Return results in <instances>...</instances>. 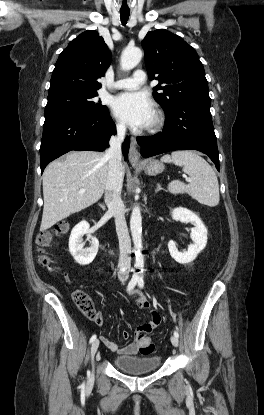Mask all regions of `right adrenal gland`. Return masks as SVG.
<instances>
[{
  "label": "right adrenal gland",
  "instance_id": "2a0ac1e0",
  "mask_svg": "<svg viewBox=\"0 0 264 415\" xmlns=\"http://www.w3.org/2000/svg\"><path fill=\"white\" fill-rule=\"evenodd\" d=\"M102 208H104L105 206L104 205H100Z\"/></svg>",
  "mask_w": 264,
  "mask_h": 415
}]
</instances>
